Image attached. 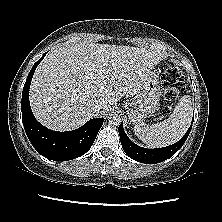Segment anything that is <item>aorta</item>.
Returning a JSON list of instances; mask_svg holds the SVG:
<instances>
[{
	"instance_id": "762f6f07",
	"label": "aorta",
	"mask_w": 222,
	"mask_h": 222,
	"mask_svg": "<svg viewBox=\"0 0 222 222\" xmlns=\"http://www.w3.org/2000/svg\"><path fill=\"white\" fill-rule=\"evenodd\" d=\"M120 123H121L120 115L113 113V114H111L109 116V124L110 125H112V126H119Z\"/></svg>"
}]
</instances>
